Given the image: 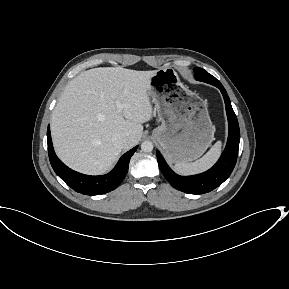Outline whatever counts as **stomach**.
I'll use <instances>...</instances> for the list:
<instances>
[{"mask_svg": "<svg viewBox=\"0 0 289 289\" xmlns=\"http://www.w3.org/2000/svg\"><path fill=\"white\" fill-rule=\"evenodd\" d=\"M161 125L153 137L171 163L199 158L214 140L207 105L188 89L172 68L159 69L150 78L149 91Z\"/></svg>", "mask_w": 289, "mask_h": 289, "instance_id": "0dacf381", "label": "stomach"}]
</instances>
